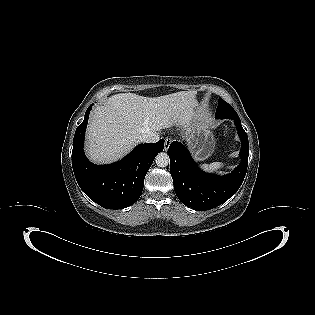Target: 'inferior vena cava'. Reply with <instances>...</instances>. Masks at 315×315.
<instances>
[{
  "label": "inferior vena cava",
  "mask_w": 315,
  "mask_h": 315,
  "mask_svg": "<svg viewBox=\"0 0 315 315\" xmlns=\"http://www.w3.org/2000/svg\"><path fill=\"white\" fill-rule=\"evenodd\" d=\"M159 135L156 132H149L147 134H144L141 138L140 141L144 143H155L159 140Z\"/></svg>",
  "instance_id": "inferior-vena-cava-1"
}]
</instances>
